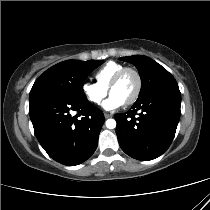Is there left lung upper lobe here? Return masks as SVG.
<instances>
[{
	"mask_svg": "<svg viewBox=\"0 0 210 210\" xmlns=\"http://www.w3.org/2000/svg\"><path fill=\"white\" fill-rule=\"evenodd\" d=\"M120 59L134 64L139 71L142 87L138 99L162 88L178 87L174 77L164 67L149 57L134 55L121 57Z\"/></svg>",
	"mask_w": 210,
	"mask_h": 210,
	"instance_id": "5c2ea615",
	"label": "left lung upper lobe"
}]
</instances>
